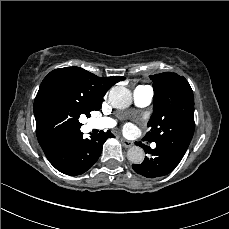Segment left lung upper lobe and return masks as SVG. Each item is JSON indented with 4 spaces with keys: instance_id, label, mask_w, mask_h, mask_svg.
<instances>
[{
    "instance_id": "1",
    "label": "left lung upper lobe",
    "mask_w": 229,
    "mask_h": 229,
    "mask_svg": "<svg viewBox=\"0 0 229 229\" xmlns=\"http://www.w3.org/2000/svg\"><path fill=\"white\" fill-rule=\"evenodd\" d=\"M154 89L150 131L143 140L164 145L183 158L194 134V97L188 81L176 73L151 75Z\"/></svg>"
}]
</instances>
